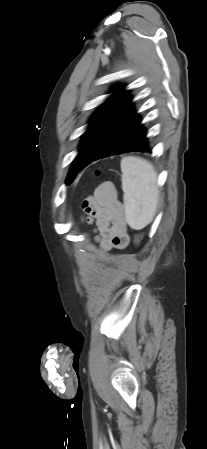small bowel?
<instances>
[{
    "mask_svg": "<svg viewBox=\"0 0 207 449\" xmlns=\"http://www.w3.org/2000/svg\"><path fill=\"white\" fill-rule=\"evenodd\" d=\"M85 221L95 224V241L104 252L124 249L129 235L121 201L111 182L100 184L93 196L82 203Z\"/></svg>",
    "mask_w": 207,
    "mask_h": 449,
    "instance_id": "obj_1",
    "label": "small bowel"
}]
</instances>
